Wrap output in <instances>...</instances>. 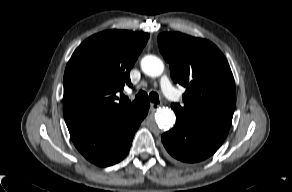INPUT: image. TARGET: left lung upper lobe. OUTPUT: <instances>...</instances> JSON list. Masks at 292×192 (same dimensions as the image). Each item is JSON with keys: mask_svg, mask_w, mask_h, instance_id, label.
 Listing matches in <instances>:
<instances>
[{"mask_svg": "<svg viewBox=\"0 0 292 192\" xmlns=\"http://www.w3.org/2000/svg\"><path fill=\"white\" fill-rule=\"evenodd\" d=\"M160 52L175 83L186 87L176 120L229 131L236 105L234 78L222 52L210 41L179 32L158 36Z\"/></svg>", "mask_w": 292, "mask_h": 192, "instance_id": "5c2ea615", "label": "left lung upper lobe"}]
</instances>
